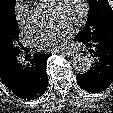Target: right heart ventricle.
Wrapping results in <instances>:
<instances>
[{"mask_svg":"<svg viewBox=\"0 0 113 113\" xmlns=\"http://www.w3.org/2000/svg\"><path fill=\"white\" fill-rule=\"evenodd\" d=\"M37 1L40 2V3L52 5L55 0H37Z\"/></svg>","mask_w":113,"mask_h":113,"instance_id":"e07e8e85","label":"right heart ventricle"}]
</instances>
